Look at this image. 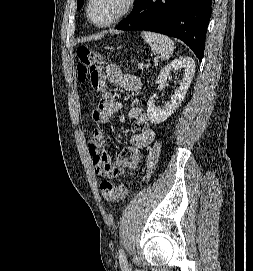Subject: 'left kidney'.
Masks as SVG:
<instances>
[{
	"label": "left kidney",
	"instance_id": "obj_1",
	"mask_svg": "<svg viewBox=\"0 0 253 271\" xmlns=\"http://www.w3.org/2000/svg\"><path fill=\"white\" fill-rule=\"evenodd\" d=\"M195 67V61L191 57H179L161 70L155 81L156 84L165 83L170 73L174 70L184 69V73L182 80L179 82V86L171 96V101L166 103L164 107L159 108L155 106V95L149 98L147 103V116L151 123L159 124L164 122L180 106L192 82Z\"/></svg>",
	"mask_w": 253,
	"mask_h": 271
}]
</instances>
